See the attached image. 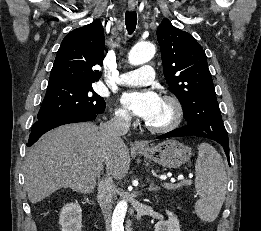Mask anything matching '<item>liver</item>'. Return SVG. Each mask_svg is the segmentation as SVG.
<instances>
[{"label":"liver","instance_id":"1","mask_svg":"<svg viewBox=\"0 0 261 231\" xmlns=\"http://www.w3.org/2000/svg\"><path fill=\"white\" fill-rule=\"evenodd\" d=\"M104 161L115 179L124 178L131 162L125 143L108 151L100 128L90 122L53 129L27 155L24 176L29 201L40 202L60 188L93 192Z\"/></svg>","mask_w":261,"mask_h":231}]
</instances>
